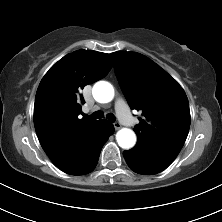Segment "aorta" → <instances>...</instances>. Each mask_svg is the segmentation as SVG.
<instances>
[{"instance_id": "1", "label": "aorta", "mask_w": 222, "mask_h": 222, "mask_svg": "<svg viewBox=\"0 0 222 222\" xmlns=\"http://www.w3.org/2000/svg\"><path fill=\"white\" fill-rule=\"evenodd\" d=\"M92 94L97 102L108 103L114 97V88L109 82L98 81L93 86ZM116 139L118 145L124 149H130L136 143L135 133L128 128L119 130L116 134Z\"/></svg>"}]
</instances>
